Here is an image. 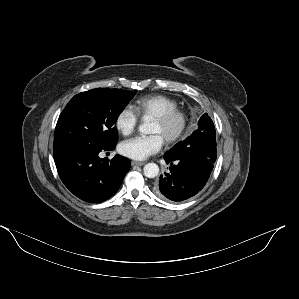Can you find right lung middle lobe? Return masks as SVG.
<instances>
[{
	"mask_svg": "<svg viewBox=\"0 0 299 299\" xmlns=\"http://www.w3.org/2000/svg\"><path fill=\"white\" fill-rule=\"evenodd\" d=\"M133 96L131 91L104 88L75 95L57 121L54 152L73 146L115 147L114 124Z\"/></svg>",
	"mask_w": 299,
	"mask_h": 299,
	"instance_id": "1",
	"label": "right lung middle lobe"
}]
</instances>
